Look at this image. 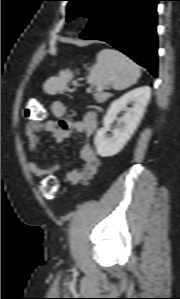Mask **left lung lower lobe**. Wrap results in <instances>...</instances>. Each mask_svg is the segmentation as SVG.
Returning a JSON list of instances; mask_svg holds the SVG:
<instances>
[{"instance_id":"left-lung-lower-lobe-1","label":"left lung lower lobe","mask_w":180,"mask_h":299,"mask_svg":"<svg viewBox=\"0 0 180 299\" xmlns=\"http://www.w3.org/2000/svg\"><path fill=\"white\" fill-rule=\"evenodd\" d=\"M158 1L101 0L80 38L109 43L156 77Z\"/></svg>"}]
</instances>
